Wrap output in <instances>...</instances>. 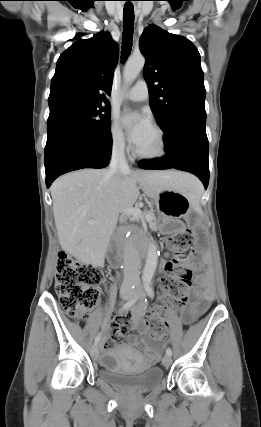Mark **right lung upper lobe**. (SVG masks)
Segmentation results:
<instances>
[{"label":"right lung upper lobe","mask_w":261,"mask_h":427,"mask_svg":"<svg viewBox=\"0 0 261 427\" xmlns=\"http://www.w3.org/2000/svg\"><path fill=\"white\" fill-rule=\"evenodd\" d=\"M117 60V45L107 33L100 32L72 44L57 61L49 108L67 104L101 105L105 95L111 93Z\"/></svg>","instance_id":"right-lung-upper-lobe-1"}]
</instances>
